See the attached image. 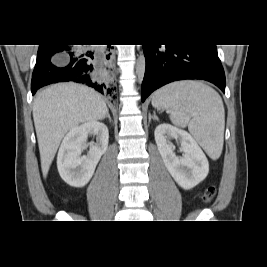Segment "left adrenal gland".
Wrapping results in <instances>:
<instances>
[{
	"mask_svg": "<svg viewBox=\"0 0 267 267\" xmlns=\"http://www.w3.org/2000/svg\"><path fill=\"white\" fill-rule=\"evenodd\" d=\"M151 119H154V120H156V119H157V117H156L155 115H154V116H152V115L149 113V123H150Z\"/></svg>",
	"mask_w": 267,
	"mask_h": 267,
	"instance_id": "a2214340",
	"label": "left adrenal gland"
}]
</instances>
